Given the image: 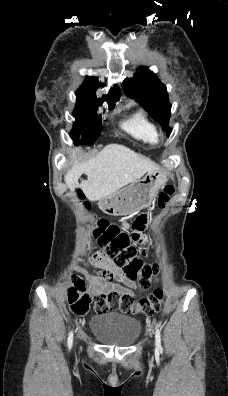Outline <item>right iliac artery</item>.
Listing matches in <instances>:
<instances>
[{
  "mask_svg": "<svg viewBox=\"0 0 228 396\" xmlns=\"http://www.w3.org/2000/svg\"><path fill=\"white\" fill-rule=\"evenodd\" d=\"M72 343H73V332H70L69 336H68V347H69V349H71Z\"/></svg>",
  "mask_w": 228,
  "mask_h": 396,
  "instance_id": "obj_1",
  "label": "right iliac artery"
}]
</instances>
